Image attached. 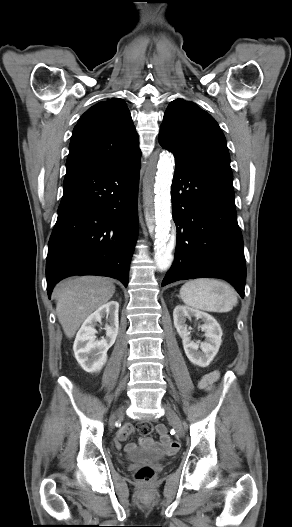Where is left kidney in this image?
<instances>
[{"instance_id": "left-kidney-1", "label": "left kidney", "mask_w": 292, "mask_h": 527, "mask_svg": "<svg viewBox=\"0 0 292 527\" xmlns=\"http://www.w3.org/2000/svg\"><path fill=\"white\" fill-rule=\"evenodd\" d=\"M201 319V330L205 332L204 342L191 341L186 319ZM174 326L182 338L185 354L189 361L200 367L208 366L216 356L222 343V329L219 323L208 313L187 306L178 305L173 311ZM199 348L201 351H199Z\"/></svg>"}]
</instances>
